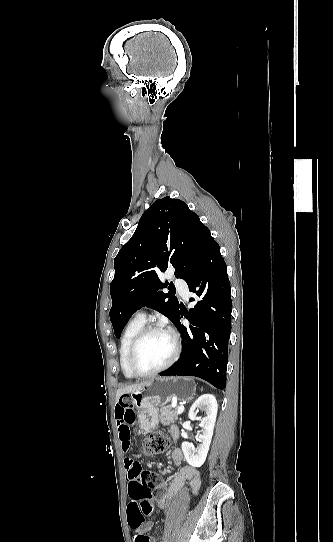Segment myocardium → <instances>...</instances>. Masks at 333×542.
I'll return each mask as SVG.
<instances>
[{
  "label": "myocardium",
  "instance_id": "1",
  "mask_svg": "<svg viewBox=\"0 0 333 542\" xmlns=\"http://www.w3.org/2000/svg\"><path fill=\"white\" fill-rule=\"evenodd\" d=\"M155 332H164L170 337L171 343H172L171 354H170L169 358L166 360V362L163 363L159 368L155 369L154 371H151V372H148V373L139 372L135 368V365H134L135 354H136L140 344L145 340V338H147L150 334L155 333ZM179 353H180V341H179V338H178L177 334L174 331H172L171 329H169V328H167V327H165L164 325H161V324L146 325L138 333V335L135 337V339L133 340V342L130 345L129 352H128V358H127V364H128L129 372L134 377H139V378L153 377V376L159 374L160 372H163L164 370L169 368L173 363H175V361L177 360V358L179 356Z\"/></svg>",
  "mask_w": 333,
  "mask_h": 542
}]
</instances>
